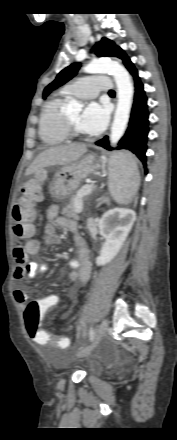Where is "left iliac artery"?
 Wrapping results in <instances>:
<instances>
[{
  "mask_svg": "<svg viewBox=\"0 0 177 440\" xmlns=\"http://www.w3.org/2000/svg\"><path fill=\"white\" fill-rule=\"evenodd\" d=\"M94 336H95L94 330H93V328H90V330H89V340L93 341L94 340Z\"/></svg>",
  "mask_w": 177,
  "mask_h": 440,
  "instance_id": "left-iliac-artery-1",
  "label": "left iliac artery"
}]
</instances>
